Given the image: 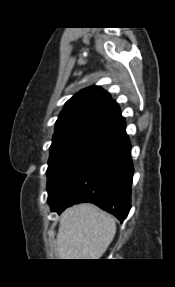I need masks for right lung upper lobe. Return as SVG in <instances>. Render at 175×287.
I'll use <instances>...</instances> for the list:
<instances>
[{"instance_id":"1","label":"right lung upper lobe","mask_w":175,"mask_h":287,"mask_svg":"<svg viewBox=\"0 0 175 287\" xmlns=\"http://www.w3.org/2000/svg\"><path fill=\"white\" fill-rule=\"evenodd\" d=\"M124 122L120 108L110 94L98 86H91L66 102L55 123V131L91 124L116 128Z\"/></svg>"}]
</instances>
